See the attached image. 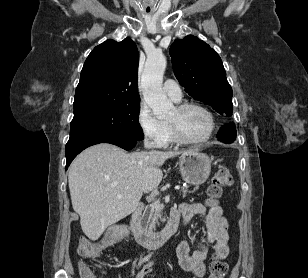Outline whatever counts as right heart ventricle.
<instances>
[{"instance_id": "right-heart-ventricle-1", "label": "right heart ventricle", "mask_w": 308, "mask_h": 278, "mask_svg": "<svg viewBox=\"0 0 308 278\" xmlns=\"http://www.w3.org/2000/svg\"><path fill=\"white\" fill-rule=\"evenodd\" d=\"M176 139L173 137L172 133H171V130L169 128V139H168V143H171V142H175Z\"/></svg>"}]
</instances>
